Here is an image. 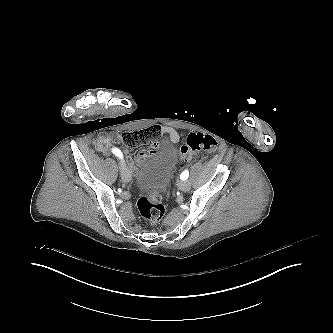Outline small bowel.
Listing matches in <instances>:
<instances>
[{
    "label": "small bowel",
    "mask_w": 333,
    "mask_h": 333,
    "mask_svg": "<svg viewBox=\"0 0 333 333\" xmlns=\"http://www.w3.org/2000/svg\"><path fill=\"white\" fill-rule=\"evenodd\" d=\"M154 127H158L161 130L162 135L168 137V139L172 143H178L181 140V135L175 129H173L171 127H168V126H154ZM179 155H180V151H179ZM144 156H145L144 152L140 153L138 160H141L142 158H144ZM180 158L182 161L187 162L182 158L181 155H180ZM136 173H137V167L133 161H130L128 164L127 179L131 180Z\"/></svg>",
    "instance_id": "c3829d8e"
}]
</instances>
